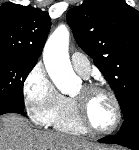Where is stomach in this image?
<instances>
[{
	"instance_id": "0dacf381",
	"label": "stomach",
	"mask_w": 139,
	"mask_h": 150,
	"mask_svg": "<svg viewBox=\"0 0 139 150\" xmlns=\"http://www.w3.org/2000/svg\"><path fill=\"white\" fill-rule=\"evenodd\" d=\"M95 150H115V149L114 148L99 147V148H96Z\"/></svg>"
}]
</instances>
